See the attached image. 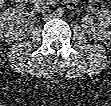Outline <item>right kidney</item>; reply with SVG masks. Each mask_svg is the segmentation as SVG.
Masks as SVG:
<instances>
[{
	"label": "right kidney",
	"instance_id": "obj_1",
	"mask_svg": "<svg viewBox=\"0 0 111 106\" xmlns=\"http://www.w3.org/2000/svg\"><path fill=\"white\" fill-rule=\"evenodd\" d=\"M23 4H16L1 14V39L6 42L21 40L32 31L36 18L25 13Z\"/></svg>",
	"mask_w": 111,
	"mask_h": 106
}]
</instances>
